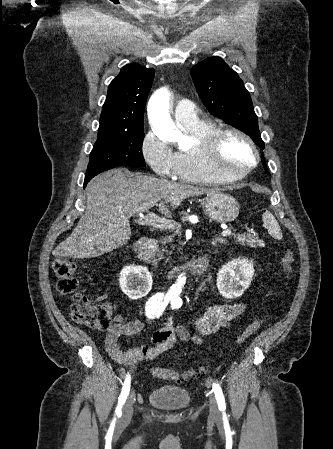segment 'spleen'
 I'll use <instances>...</instances> for the list:
<instances>
[{
    "label": "spleen",
    "mask_w": 333,
    "mask_h": 449,
    "mask_svg": "<svg viewBox=\"0 0 333 449\" xmlns=\"http://www.w3.org/2000/svg\"><path fill=\"white\" fill-rule=\"evenodd\" d=\"M263 222L268 230V232L275 238V239H281L282 238V232L280 229V226L275 219V217L272 215L270 211H266L263 214Z\"/></svg>",
    "instance_id": "spleen-1"
}]
</instances>
